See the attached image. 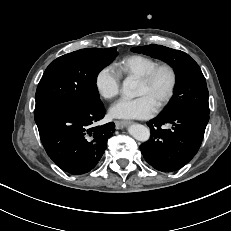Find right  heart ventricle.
I'll list each match as a JSON object with an SVG mask.
<instances>
[{"instance_id": "right-heart-ventricle-1", "label": "right heart ventricle", "mask_w": 231, "mask_h": 231, "mask_svg": "<svg viewBox=\"0 0 231 231\" xmlns=\"http://www.w3.org/2000/svg\"><path fill=\"white\" fill-rule=\"evenodd\" d=\"M157 65V61L152 57L133 54L126 56L115 64V68L120 75L141 77Z\"/></svg>"}]
</instances>
